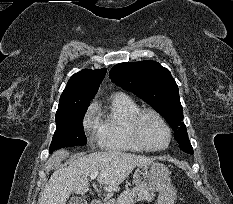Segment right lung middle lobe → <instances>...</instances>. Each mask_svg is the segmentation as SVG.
Returning <instances> with one entry per match:
<instances>
[{
    "label": "right lung middle lobe",
    "mask_w": 233,
    "mask_h": 204,
    "mask_svg": "<svg viewBox=\"0 0 233 204\" xmlns=\"http://www.w3.org/2000/svg\"><path fill=\"white\" fill-rule=\"evenodd\" d=\"M89 105H74L58 108L57 129L50 145V153L59 148L85 145L87 138L83 130V118Z\"/></svg>",
    "instance_id": "obj_1"
}]
</instances>
